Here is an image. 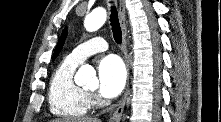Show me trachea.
Returning a JSON list of instances; mask_svg holds the SVG:
<instances>
[{
  "label": "trachea",
  "mask_w": 221,
  "mask_h": 122,
  "mask_svg": "<svg viewBox=\"0 0 221 122\" xmlns=\"http://www.w3.org/2000/svg\"><path fill=\"white\" fill-rule=\"evenodd\" d=\"M110 24L112 27L113 37L117 44L122 42V31L118 20V14L115 6L111 7Z\"/></svg>",
  "instance_id": "trachea-1"
}]
</instances>
